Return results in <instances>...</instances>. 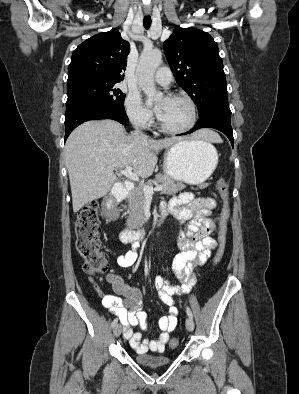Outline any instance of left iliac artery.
<instances>
[{"label": "left iliac artery", "mask_w": 299, "mask_h": 394, "mask_svg": "<svg viewBox=\"0 0 299 394\" xmlns=\"http://www.w3.org/2000/svg\"><path fill=\"white\" fill-rule=\"evenodd\" d=\"M186 312H187V315L190 317V318H192L193 319V315H192V312H191V310H190V308H186Z\"/></svg>", "instance_id": "obj_1"}]
</instances>
